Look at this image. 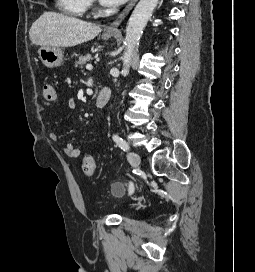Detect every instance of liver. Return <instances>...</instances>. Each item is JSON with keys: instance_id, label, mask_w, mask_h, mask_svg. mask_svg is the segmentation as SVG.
<instances>
[{"instance_id": "6515ba94", "label": "liver", "mask_w": 255, "mask_h": 272, "mask_svg": "<svg viewBox=\"0 0 255 272\" xmlns=\"http://www.w3.org/2000/svg\"><path fill=\"white\" fill-rule=\"evenodd\" d=\"M100 32L98 24L50 11L32 24L29 37L34 45L72 47L94 39Z\"/></svg>"}]
</instances>
